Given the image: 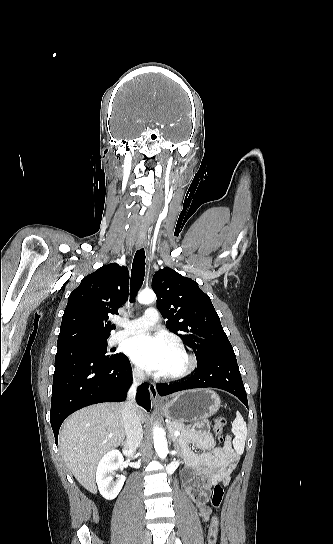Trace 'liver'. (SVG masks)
<instances>
[{"mask_svg":"<svg viewBox=\"0 0 333 544\" xmlns=\"http://www.w3.org/2000/svg\"><path fill=\"white\" fill-rule=\"evenodd\" d=\"M140 420L146 422L142 409ZM120 404H97L71 415L63 423L60 450L63 460L77 481L91 493L97 492L95 472L100 458L115 449L125 438Z\"/></svg>","mask_w":333,"mask_h":544,"instance_id":"6515ba94","label":"liver"}]
</instances>
